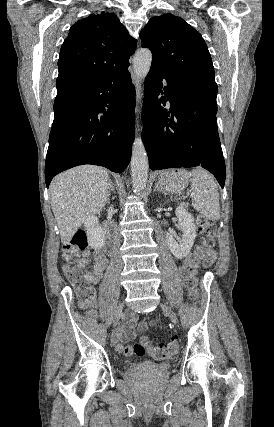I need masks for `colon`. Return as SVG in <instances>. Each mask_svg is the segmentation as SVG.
<instances>
[{"label":"colon","instance_id":"obj_1","mask_svg":"<svg viewBox=\"0 0 274 427\" xmlns=\"http://www.w3.org/2000/svg\"><path fill=\"white\" fill-rule=\"evenodd\" d=\"M200 244L189 255L182 268V276L188 288L189 298L193 302L200 299L201 291L196 277L197 268L202 263L205 254H212L215 248L216 225L213 221L200 218ZM89 243V234L84 229H75L70 234L69 242L65 245L63 271L80 288L88 290L90 277L77 263L79 252ZM119 350L126 356L142 358L150 355L154 359L165 360L175 356L179 350V342L172 340L163 346H153L147 339L133 345L118 344Z\"/></svg>","mask_w":274,"mask_h":427}]
</instances>
